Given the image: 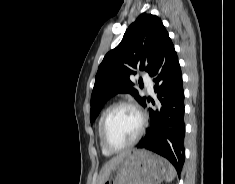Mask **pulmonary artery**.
<instances>
[{"instance_id": "e3ab8cb5", "label": "pulmonary artery", "mask_w": 235, "mask_h": 184, "mask_svg": "<svg viewBox=\"0 0 235 184\" xmlns=\"http://www.w3.org/2000/svg\"><path fill=\"white\" fill-rule=\"evenodd\" d=\"M144 79H145V84H146L147 89L149 91H152V87H153L152 79L148 76H146Z\"/></svg>"}]
</instances>
